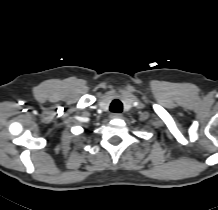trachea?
<instances>
[{"label":"trachea","mask_w":218,"mask_h":210,"mask_svg":"<svg viewBox=\"0 0 218 210\" xmlns=\"http://www.w3.org/2000/svg\"><path fill=\"white\" fill-rule=\"evenodd\" d=\"M122 109H123V105H122L121 101H119L117 99L112 101V103L110 105L111 112L120 113V112H122Z\"/></svg>","instance_id":"3493384b"}]
</instances>
